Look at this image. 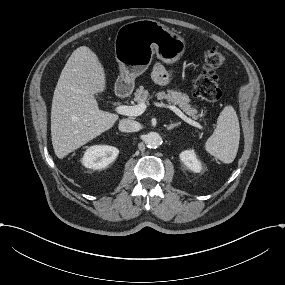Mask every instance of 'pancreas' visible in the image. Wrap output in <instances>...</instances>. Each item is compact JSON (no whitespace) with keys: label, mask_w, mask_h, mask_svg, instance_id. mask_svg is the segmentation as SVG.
<instances>
[{"label":"pancreas","mask_w":285,"mask_h":285,"mask_svg":"<svg viewBox=\"0 0 285 285\" xmlns=\"http://www.w3.org/2000/svg\"><path fill=\"white\" fill-rule=\"evenodd\" d=\"M158 100L166 99L168 102L178 105L187 115L191 116L193 119H198V111L196 108L191 107L189 104L190 98L187 94L177 92L174 90H167L156 93ZM149 92L145 90L143 86H139L134 93V101L138 103L148 102Z\"/></svg>","instance_id":"pancreas-1"}]
</instances>
